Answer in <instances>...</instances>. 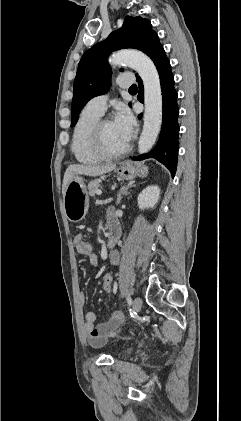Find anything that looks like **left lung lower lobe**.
<instances>
[{
	"mask_svg": "<svg viewBox=\"0 0 241 421\" xmlns=\"http://www.w3.org/2000/svg\"><path fill=\"white\" fill-rule=\"evenodd\" d=\"M154 62L160 77L163 116L162 127L157 145L147 154L134 157L133 160L141 161L148 158H155L164 164L174 177L177 166V156L179 150L178 143V115L177 92L174 88V77L171 72L170 62L165 51L159 42L156 34L145 51ZM139 95L143 93V83L140 77L137 78ZM142 102V100H140ZM141 118V115H139Z\"/></svg>",
	"mask_w": 241,
	"mask_h": 421,
	"instance_id": "0a47b994",
	"label": "left lung lower lobe"
}]
</instances>
